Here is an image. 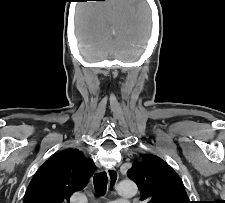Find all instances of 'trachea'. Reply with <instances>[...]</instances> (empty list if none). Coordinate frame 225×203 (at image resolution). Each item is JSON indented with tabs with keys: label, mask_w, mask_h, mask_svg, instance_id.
Instances as JSON below:
<instances>
[{
	"label": "trachea",
	"mask_w": 225,
	"mask_h": 203,
	"mask_svg": "<svg viewBox=\"0 0 225 203\" xmlns=\"http://www.w3.org/2000/svg\"><path fill=\"white\" fill-rule=\"evenodd\" d=\"M107 182L108 178L106 172L98 173L93 177L94 188L98 195L103 196L106 193Z\"/></svg>",
	"instance_id": "obj_1"
}]
</instances>
